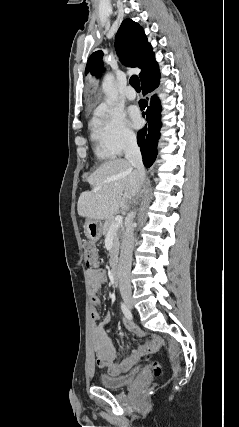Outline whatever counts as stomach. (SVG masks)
Here are the masks:
<instances>
[{
  "instance_id": "stomach-1",
  "label": "stomach",
  "mask_w": 239,
  "mask_h": 427,
  "mask_svg": "<svg viewBox=\"0 0 239 427\" xmlns=\"http://www.w3.org/2000/svg\"><path fill=\"white\" fill-rule=\"evenodd\" d=\"M102 228L103 223L100 220L87 219L84 225L85 235L92 242H97L103 234Z\"/></svg>"
}]
</instances>
